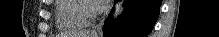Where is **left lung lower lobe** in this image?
<instances>
[{
	"label": "left lung lower lobe",
	"instance_id": "obj_1",
	"mask_svg": "<svg viewBox=\"0 0 219 37\" xmlns=\"http://www.w3.org/2000/svg\"><path fill=\"white\" fill-rule=\"evenodd\" d=\"M125 10L115 21L112 13L105 21V37H146L159 16L161 0H127Z\"/></svg>",
	"mask_w": 219,
	"mask_h": 37
}]
</instances>
